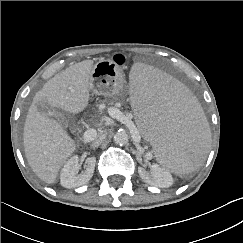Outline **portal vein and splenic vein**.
Listing matches in <instances>:
<instances>
[{
	"instance_id": "18ae733b",
	"label": "portal vein and splenic vein",
	"mask_w": 243,
	"mask_h": 243,
	"mask_svg": "<svg viewBox=\"0 0 243 243\" xmlns=\"http://www.w3.org/2000/svg\"><path fill=\"white\" fill-rule=\"evenodd\" d=\"M110 116L121 123L125 124L130 131L134 134L136 138H140L139 131L136 128L135 124L131 120V115H124L121 111L118 109H112L111 112H109ZM95 135V131L93 129H89L84 133V139L86 141L92 139ZM149 156H152V152H149Z\"/></svg>"
}]
</instances>
